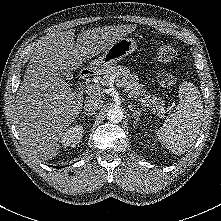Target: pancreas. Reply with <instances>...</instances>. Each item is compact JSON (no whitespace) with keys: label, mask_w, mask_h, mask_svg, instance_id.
Returning a JSON list of instances; mask_svg holds the SVG:
<instances>
[{"label":"pancreas","mask_w":221,"mask_h":221,"mask_svg":"<svg viewBox=\"0 0 221 221\" xmlns=\"http://www.w3.org/2000/svg\"><path fill=\"white\" fill-rule=\"evenodd\" d=\"M112 74H115L117 75V77L120 78L118 81L124 87L125 92H127L130 97L138 99L139 103L143 107H149L159 117H164V104L160 101H155L151 99V95L146 94L143 86L138 83V76L133 74L124 66L112 67L104 73L102 79L103 85L108 84Z\"/></svg>","instance_id":"1"}]
</instances>
